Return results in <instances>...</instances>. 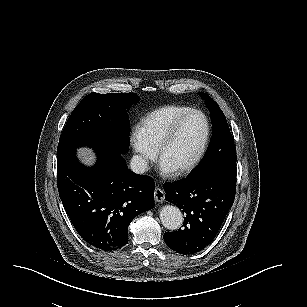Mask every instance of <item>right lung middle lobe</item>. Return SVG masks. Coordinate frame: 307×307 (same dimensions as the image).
Masks as SVG:
<instances>
[{"mask_svg":"<svg viewBox=\"0 0 307 307\" xmlns=\"http://www.w3.org/2000/svg\"><path fill=\"white\" fill-rule=\"evenodd\" d=\"M134 93H90L75 107L59 139L57 156L81 146L108 147L125 153L130 144L129 105Z\"/></svg>","mask_w":307,"mask_h":307,"instance_id":"obj_1","label":"right lung middle lobe"}]
</instances>
